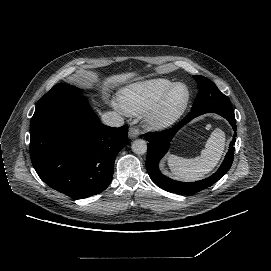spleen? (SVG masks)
Wrapping results in <instances>:
<instances>
[{"label":"spleen","mask_w":271,"mask_h":271,"mask_svg":"<svg viewBox=\"0 0 271 271\" xmlns=\"http://www.w3.org/2000/svg\"><path fill=\"white\" fill-rule=\"evenodd\" d=\"M224 147L225 134L217 128L211 133L200 156L186 159L169 155L168 166L176 178L186 181L198 180L215 168L222 157Z\"/></svg>","instance_id":"spleen-1"}]
</instances>
